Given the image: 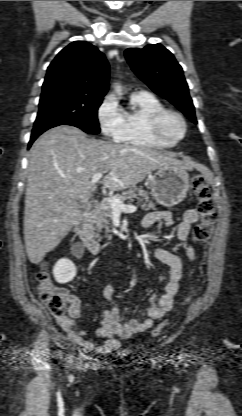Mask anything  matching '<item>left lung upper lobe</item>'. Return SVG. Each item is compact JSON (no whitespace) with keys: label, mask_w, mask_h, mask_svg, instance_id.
Returning a JSON list of instances; mask_svg holds the SVG:
<instances>
[{"label":"left lung upper lobe","mask_w":242,"mask_h":416,"mask_svg":"<svg viewBox=\"0 0 242 416\" xmlns=\"http://www.w3.org/2000/svg\"><path fill=\"white\" fill-rule=\"evenodd\" d=\"M125 57L136 75L156 94L197 123L182 67L169 50L161 44H151L143 49L129 48Z\"/></svg>","instance_id":"5c2ea615"}]
</instances>
